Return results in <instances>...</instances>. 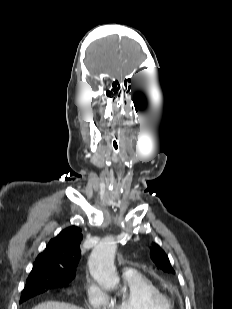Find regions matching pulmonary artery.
<instances>
[{"instance_id": "e3ab8cb5", "label": "pulmonary artery", "mask_w": 232, "mask_h": 309, "mask_svg": "<svg viewBox=\"0 0 232 309\" xmlns=\"http://www.w3.org/2000/svg\"><path fill=\"white\" fill-rule=\"evenodd\" d=\"M133 272H135V270L130 268V267H123V269H122V274L123 275L130 274V273H133Z\"/></svg>"}]
</instances>
